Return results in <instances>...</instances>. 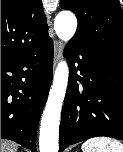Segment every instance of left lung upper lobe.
<instances>
[{"label":"left lung upper lobe","instance_id":"left-lung-upper-lobe-1","mask_svg":"<svg viewBox=\"0 0 123 152\" xmlns=\"http://www.w3.org/2000/svg\"><path fill=\"white\" fill-rule=\"evenodd\" d=\"M60 6L78 19L71 41L123 60V10L118 0H61Z\"/></svg>","mask_w":123,"mask_h":152}]
</instances>
